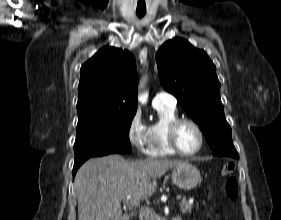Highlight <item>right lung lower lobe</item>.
I'll list each match as a JSON object with an SVG mask.
<instances>
[{
	"label": "right lung lower lobe",
	"instance_id": "right-lung-lower-lobe-1",
	"mask_svg": "<svg viewBox=\"0 0 281 220\" xmlns=\"http://www.w3.org/2000/svg\"><path fill=\"white\" fill-rule=\"evenodd\" d=\"M88 159V158H87ZM87 159H83V160H80V161H75L74 163V167H73V177L75 176L78 168L87 160Z\"/></svg>",
	"mask_w": 281,
	"mask_h": 220
}]
</instances>
